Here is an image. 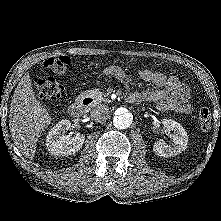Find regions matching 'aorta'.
<instances>
[{
	"instance_id": "aorta-1",
	"label": "aorta",
	"mask_w": 221,
	"mask_h": 221,
	"mask_svg": "<svg viewBox=\"0 0 221 221\" xmlns=\"http://www.w3.org/2000/svg\"><path fill=\"white\" fill-rule=\"evenodd\" d=\"M133 122V115L125 108H119L115 112L113 124L118 129H126L131 126Z\"/></svg>"
}]
</instances>
